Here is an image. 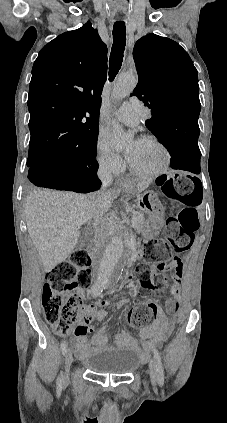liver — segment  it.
<instances>
[{"instance_id": "6515ba94", "label": "liver", "mask_w": 227, "mask_h": 423, "mask_svg": "<svg viewBox=\"0 0 227 423\" xmlns=\"http://www.w3.org/2000/svg\"><path fill=\"white\" fill-rule=\"evenodd\" d=\"M149 182H136L137 196L148 188ZM120 190L93 194L31 190L24 202L28 233L42 259L45 271L65 261L80 235L83 223H101L104 211L111 208Z\"/></svg>"}]
</instances>
